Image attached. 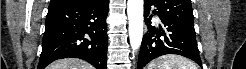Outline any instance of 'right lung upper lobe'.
I'll use <instances>...</instances> for the list:
<instances>
[{
	"instance_id": "1",
	"label": "right lung upper lobe",
	"mask_w": 246,
	"mask_h": 69,
	"mask_svg": "<svg viewBox=\"0 0 246 69\" xmlns=\"http://www.w3.org/2000/svg\"><path fill=\"white\" fill-rule=\"evenodd\" d=\"M99 1L100 0H51L49 6L66 5V4H93Z\"/></svg>"
}]
</instances>
